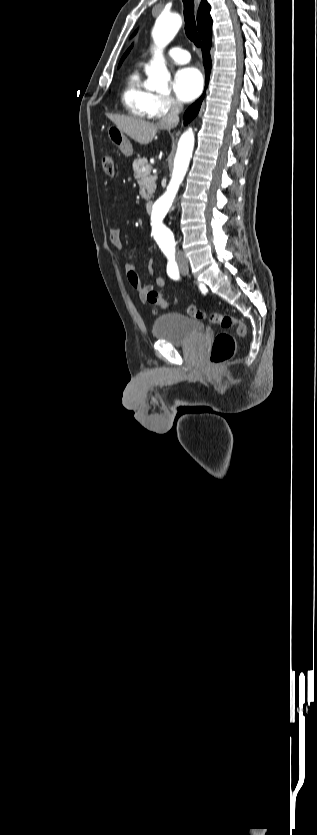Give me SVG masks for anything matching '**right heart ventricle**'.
<instances>
[{
    "instance_id": "1",
    "label": "right heart ventricle",
    "mask_w": 317,
    "mask_h": 835,
    "mask_svg": "<svg viewBox=\"0 0 317 835\" xmlns=\"http://www.w3.org/2000/svg\"><path fill=\"white\" fill-rule=\"evenodd\" d=\"M154 95L143 85L138 70H133L127 75L121 97L125 108L131 115L139 118L150 117L149 109Z\"/></svg>"
}]
</instances>
